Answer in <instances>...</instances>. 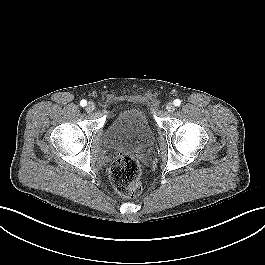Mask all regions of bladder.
Returning a JSON list of instances; mask_svg holds the SVG:
<instances>
[{"label":"bladder","mask_w":265,"mask_h":265,"mask_svg":"<svg viewBox=\"0 0 265 265\" xmlns=\"http://www.w3.org/2000/svg\"><path fill=\"white\" fill-rule=\"evenodd\" d=\"M154 141L147 110L137 104L120 110L106 127V144L112 148L142 151Z\"/></svg>","instance_id":"obj_1"}]
</instances>
